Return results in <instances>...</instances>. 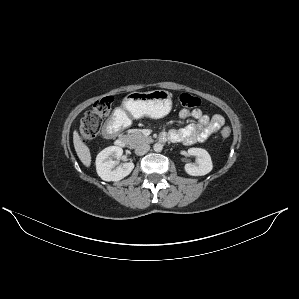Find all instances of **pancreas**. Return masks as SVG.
<instances>
[{
	"label": "pancreas",
	"instance_id": "pancreas-1",
	"mask_svg": "<svg viewBox=\"0 0 299 299\" xmlns=\"http://www.w3.org/2000/svg\"><path fill=\"white\" fill-rule=\"evenodd\" d=\"M126 137H127L128 144L131 147H135L138 144L145 143V142H147V143L152 142L151 137H147V136L143 135L138 130H132L130 132V134H128Z\"/></svg>",
	"mask_w": 299,
	"mask_h": 299
}]
</instances>
